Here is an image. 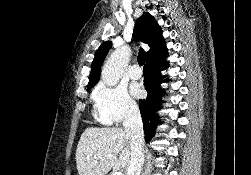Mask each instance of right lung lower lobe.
<instances>
[{
    "label": "right lung lower lobe",
    "mask_w": 251,
    "mask_h": 175,
    "mask_svg": "<svg viewBox=\"0 0 251 175\" xmlns=\"http://www.w3.org/2000/svg\"><path fill=\"white\" fill-rule=\"evenodd\" d=\"M167 67L168 63L161 60L146 63L144 66V86L148 96L146 99L139 101V108L146 142H149L154 136L156 127L159 124V116L156 112L161 109V97L164 95L163 90L159 87V84L163 82V76L160 72Z\"/></svg>",
    "instance_id": "98d812e1"
}]
</instances>
